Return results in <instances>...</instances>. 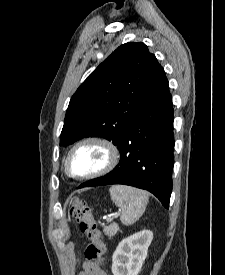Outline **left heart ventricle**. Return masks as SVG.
Returning a JSON list of instances; mask_svg holds the SVG:
<instances>
[{"label": "left heart ventricle", "mask_w": 225, "mask_h": 275, "mask_svg": "<svg viewBox=\"0 0 225 275\" xmlns=\"http://www.w3.org/2000/svg\"><path fill=\"white\" fill-rule=\"evenodd\" d=\"M105 161L104 151L94 145L76 150L70 159V168L75 174H86L100 168Z\"/></svg>", "instance_id": "b2bd125f"}]
</instances>
